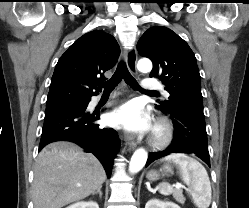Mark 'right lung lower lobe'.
Here are the masks:
<instances>
[{
	"mask_svg": "<svg viewBox=\"0 0 249 208\" xmlns=\"http://www.w3.org/2000/svg\"><path fill=\"white\" fill-rule=\"evenodd\" d=\"M91 99L46 106L39 151L55 141H71L93 153L110 177L113 159L119 149L115 130L93 123L98 115L86 111Z\"/></svg>",
	"mask_w": 249,
	"mask_h": 208,
	"instance_id": "obj_1",
	"label": "right lung lower lobe"
}]
</instances>
